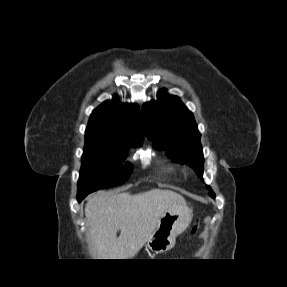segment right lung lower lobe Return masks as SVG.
Instances as JSON below:
<instances>
[{
	"label": "right lung lower lobe",
	"mask_w": 287,
	"mask_h": 287,
	"mask_svg": "<svg viewBox=\"0 0 287 287\" xmlns=\"http://www.w3.org/2000/svg\"><path fill=\"white\" fill-rule=\"evenodd\" d=\"M88 194H84V195H79L77 196V200L78 202H81Z\"/></svg>",
	"instance_id": "right-lung-lower-lobe-1"
}]
</instances>
